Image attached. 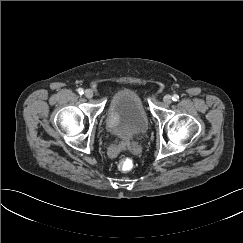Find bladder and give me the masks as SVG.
<instances>
[{"instance_id":"1","label":"bladder","mask_w":243,"mask_h":243,"mask_svg":"<svg viewBox=\"0 0 243 243\" xmlns=\"http://www.w3.org/2000/svg\"><path fill=\"white\" fill-rule=\"evenodd\" d=\"M106 127L113 136L128 140L144 134L149 119L140 96L131 89L116 92L106 110Z\"/></svg>"}]
</instances>
